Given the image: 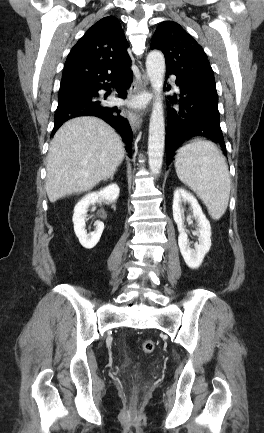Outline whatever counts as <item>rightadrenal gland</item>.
Returning a JSON list of instances; mask_svg holds the SVG:
<instances>
[{"instance_id":"obj_1","label":"right adrenal gland","mask_w":264,"mask_h":433,"mask_svg":"<svg viewBox=\"0 0 264 433\" xmlns=\"http://www.w3.org/2000/svg\"><path fill=\"white\" fill-rule=\"evenodd\" d=\"M108 179H111V180H113V175L112 176H110ZM105 181H107V179L105 180Z\"/></svg>"}]
</instances>
